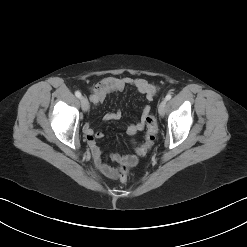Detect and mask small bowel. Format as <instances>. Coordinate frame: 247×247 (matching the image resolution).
Masks as SVG:
<instances>
[{
    "instance_id": "c3829d8e",
    "label": "small bowel",
    "mask_w": 247,
    "mask_h": 247,
    "mask_svg": "<svg viewBox=\"0 0 247 247\" xmlns=\"http://www.w3.org/2000/svg\"><path fill=\"white\" fill-rule=\"evenodd\" d=\"M128 86L135 88L139 93L144 95L148 101H151L157 93V87L143 78L109 76L100 80L92 87L90 100L94 106H97L104 101L108 94L120 93ZM149 113L150 107L148 105L144 106L140 119L136 123L127 126V133L134 134L138 131H142L145 126V119ZM120 118L121 111L119 110L109 112L104 116L106 121L119 120ZM83 132L87 138L96 168L103 175L109 178H115V171L106 162H104L102 150L96 143V140L102 139L104 134L101 131H95L89 123H86L83 126ZM109 158L114 162L127 163L129 166H133L138 162V157L130 154L113 153Z\"/></svg>"
}]
</instances>
